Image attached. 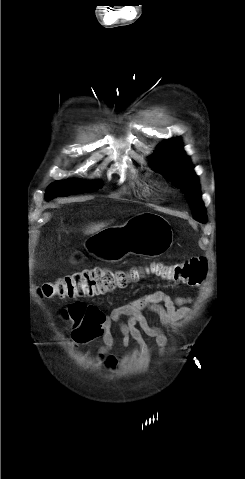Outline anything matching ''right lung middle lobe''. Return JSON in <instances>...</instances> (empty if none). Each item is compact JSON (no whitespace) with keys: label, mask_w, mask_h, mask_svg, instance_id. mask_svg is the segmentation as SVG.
I'll return each mask as SVG.
<instances>
[{"label":"right lung middle lobe","mask_w":245,"mask_h":479,"mask_svg":"<svg viewBox=\"0 0 245 479\" xmlns=\"http://www.w3.org/2000/svg\"><path fill=\"white\" fill-rule=\"evenodd\" d=\"M100 187L98 182H81L78 180H65L52 183L46 191V199L50 200L57 195L69 196L71 193L96 191Z\"/></svg>","instance_id":"right-lung-middle-lobe-1"}]
</instances>
